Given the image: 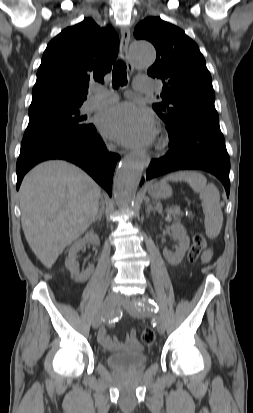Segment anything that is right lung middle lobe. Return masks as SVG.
Listing matches in <instances>:
<instances>
[{
    "mask_svg": "<svg viewBox=\"0 0 253 413\" xmlns=\"http://www.w3.org/2000/svg\"><path fill=\"white\" fill-rule=\"evenodd\" d=\"M79 106L51 108L29 112V124L21 147L50 138L86 132L93 125L81 116Z\"/></svg>",
    "mask_w": 253,
    "mask_h": 413,
    "instance_id": "1",
    "label": "right lung middle lobe"
}]
</instances>
